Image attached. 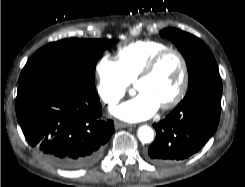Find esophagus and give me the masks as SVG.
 <instances>
[{"instance_id": "1", "label": "esophagus", "mask_w": 245, "mask_h": 187, "mask_svg": "<svg viewBox=\"0 0 245 187\" xmlns=\"http://www.w3.org/2000/svg\"><path fill=\"white\" fill-rule=\"evenodd\" d=\"M114 124H115L116 129L129 127L128 124L120 122V121H115Z\"/></svg>"}]
</instances>
